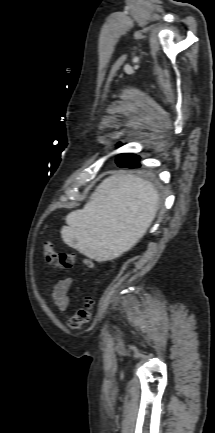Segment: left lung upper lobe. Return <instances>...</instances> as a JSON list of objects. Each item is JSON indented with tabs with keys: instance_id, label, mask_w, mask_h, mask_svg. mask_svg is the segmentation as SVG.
<instances>
[{
	"instance_id": "left-lung-upper-lobe-1",
	"label": "left lung upper lobe",
	"mask_w": 215,
	"mask_h": 433,
	"mask_svg": "<svg viewBox=\"0 0 215 433\" xmlns=\"http://www.w3.org/2000/svg\"><path fill=\"white\" fill-rule=\"evenodd\" d=\"M121 145L122 143L120 142L117 144L118 147ZM116 163L119 167H126L131 163H139V156L129 153L118 154L116 157Z\"/></svg>"
}]
</instances>
